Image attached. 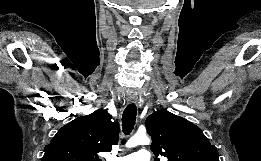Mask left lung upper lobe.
I'll use <instances>...</instances> for the list:
<instances>
[{
	"label": "left lung upper lobe",
	"mask_w": 261,
	"mask_h": 161,
	"mask_svg": "<svg viewBox=\"0 0 261 161\" xmlns=\"http://www.w3.org/2000/svg\"><path fill=\"white\" fill-rule=\"evenodd\" d=\"M145 124L155 156L166 157L168 161H219L215 145L190 121L160 110L150 115Z\"/></svg>",
	"instance_id": "left-lung-upper-lobe-1"
}]
</instances>
